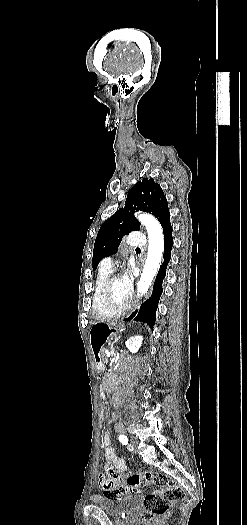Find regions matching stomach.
Returning a JSON list of instances; mask_svg holds the SVG:
<instances>
[{"mask_svg":"<svg viewBox=\"0 0 247 525\" xmlns=\"http://www.w3.org/2000/svg\"><path fill=\"white\" fill-rule=\"evenodd\" d=\"M120 327H115L110 323H96L90 329V346L95 355L96 361H99L98 352L108 340L109 336L118 330Z\"/></svg>","mask_w":247,"mask_h":525,"instance_id":"stomach-1","label":"stomach"}]
</instances>
